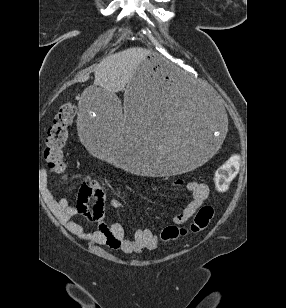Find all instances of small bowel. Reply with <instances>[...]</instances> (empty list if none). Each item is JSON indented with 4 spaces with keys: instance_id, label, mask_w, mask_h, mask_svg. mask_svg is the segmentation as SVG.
Here are the masks:
<instances>
[{
    "instance_id": "small-bowel-1",
    "label": "small bowel",
    "mask_w": 286,
    "mask_h": 308,
    "mask_svg": "<svg viewBox=\"0 0 286 308\" xmlns=\"http://www.w3.org/2000/svg\"><path fill=\"white\" fill-rule=\"evenodd\" d=\"M178 183L183 182L178 181ZM186 189L191 193V200L180 213L173 217L172 222L177 225L187 223L209 195V187L203 182L189 181L186 183ZM104 194L101 184L92 180L82 184L75 205H70L64 198L52 199L49 204L66 228L81 239L106 245L125 253H138L145 249H155L158 245V239L149 229H137L134 232L133 239H128L125 237L124 228L119 222L106 224L102 221L105 209ZM109 207L112 210L120 209L122 202L117 198H112ZM80 214L98 221V229L90 232L86 230L84 225L74 221L73 218Z\"/></svg>"
}]
</instances>
